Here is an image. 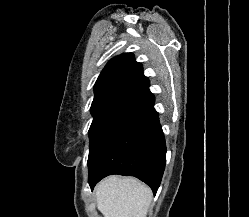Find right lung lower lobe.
Returning <instances> with one entry per match:
<instances>
[{"label":"right lung lower lobe","instance_id":"obj_1","mask_svg":"<svg viewBox=\"0 0 249 217\" xmlns=\"http://www.w3.org/2000/svg\"><path fill=\"white\" fill-rule=\"evenodd\" d=\"M154 101L145 77L107 109L90 140L92 190L102 178L119 174L137 177L156 193L165 168L166 145Z\"/></svg>","mask_w":249,"mask_h":217}]
</instances>
